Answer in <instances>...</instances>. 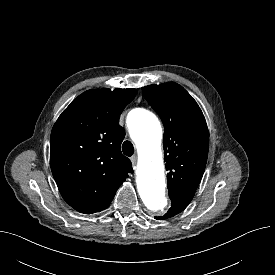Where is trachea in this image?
Returning a JSON list of instances; mask_svg holds the SVG:
<instances>
[{
	"label": "trachea",
	"instance_id": "3493384b",
	"mask_svg": "<svg viewBox=\"0 0 275 275\" xmlns=\"http://www.w3.org/2000/svg\"><path fill=\"white\" fill-rule=\"evenodd\" d=\"M122 150L126 156H132L134 153L133 144L130 141H125L122 145Z\"/></svg>",
	"mask_w": 275,
	"mask_h": 275
}]
</instances>
